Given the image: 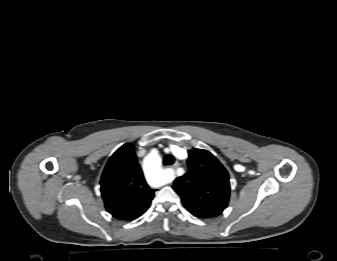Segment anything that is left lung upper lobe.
Listing matches in <instances>:
<instances>
[{
  "label": "left lung upper lobe",
  "mask_w": 337,
  "mask_h": 261,
  "mask_svg": "<svg viewBox=\"0 0 337 261\" xmlns=\"http://www.w3.org/2000/svg\"><path fill=\"white\" fill-rule=\"evenodd\" d=\"M189 171L178 177L173 189L181 196L185 208L194 216L212 218L227 207L230 196L229 175L210 152L189 150Z\"/></svg>",
  "instance_id": "obj_1"
}]
</instances>
